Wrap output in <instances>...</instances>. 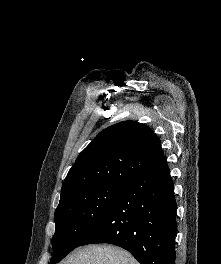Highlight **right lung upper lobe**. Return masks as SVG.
Instances as JSON below:
<instances>
[{
	"mask_svg": "<svg viewBox=\"0 0 221 264\" xmlns=\"http://www.w3.org/2000/svg\"><path fill=\"white\" fill-rule=\"evenodd\" d=\"M166 165L161 142L151 128L135 121L117 123L80 153L64 180L60 201L95 185L127 184Z\"/></svg>",
	"mask_w": 221,
	"mask_h": 264,
	"instance_id": "1",
	"label": "right lung upper lobe"
}]
</instances>
